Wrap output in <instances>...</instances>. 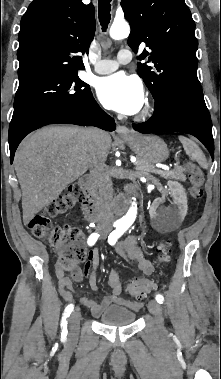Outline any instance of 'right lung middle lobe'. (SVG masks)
Listing matches in <instances>:
<instances>
[{
    "label": "right lung middle lobe",
    "mask_w": 221,
    "mask_h": 379,
    "mask_svg": "<svg viewBox=\"0 0 221 379\" xmlns=\"http://www.w3.org/2000/svg\"><path fill=\"white\" fill-rule=\"evenodd\" d=\"M91 94L89 85L77 76V72L44 74L20 81L9 126V141L42 119L87 101Z\"/></svg>",
    "instance_id": "right-lung-middle-lobe-1"
}]
</instances>
